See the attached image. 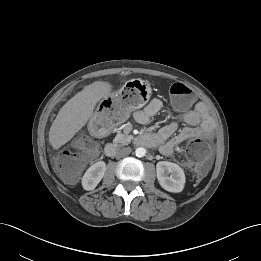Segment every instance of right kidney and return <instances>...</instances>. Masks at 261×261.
<instances>
[{
  "label": "right kidney",
  "mask_w": 261,
  "mask_h": 261,
  "mask_svg": "<svg viewBox=\"0 0 261 261\" xmlns=\"http://www.w3.org/2000/svg\"><path fill=\"white\" fill-rule=\"evenodd\" d=\"M106 171V163L98 161L90 166L82 178V186L85 190H93L102 180Z\"/></svg>",
  "instance_id": "ca27d5eb"
}]
</instances>
